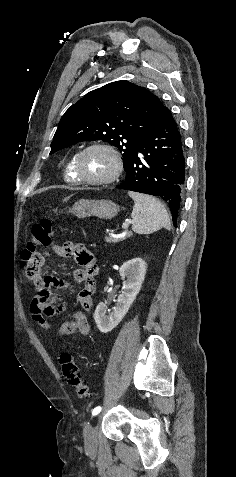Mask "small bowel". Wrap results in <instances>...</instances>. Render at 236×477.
<instances>
[{
    "label": "small bowel",
    "mask_w": 236,
    "mask_h": 477,
    "mask_svg": "<svg viewBox=\"0 0 236 477\" xmlns=\"http://www.w3.org/2000/svg\"><path fill=\"white\" fill-rule=\"evenodd\" d=\"M53 249L60 257H74L78 267L74 270L73 277L77 283L81 284V287L73 295V304L85 310H91L93 306L92 296L96 290L93 277L97 265L94 255L82 244L73 241H67L62 245H54ZM52 284L56 285L53 292L50 290ZM38 285L40 288L31 301L30 311L33 319L41 328L61 337L80 336L89 333L88 319L81 310L72 311L69 319L58 327L47 320V317H53L61 313L68 305V302L61 297L62 291L66 288L65 282L52 278H42Z\"/></svg>",
    "instance_id": "c3829d8e"
}]
</instances>
